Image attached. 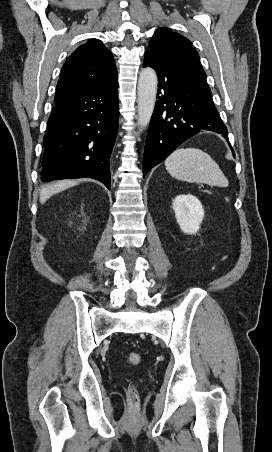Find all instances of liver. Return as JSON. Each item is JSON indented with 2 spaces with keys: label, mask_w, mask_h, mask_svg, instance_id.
<instances>
[{
  "label": "liver",
  "mask_w": 272,
  "mask_h": 452,
  "mask_svg": "<svg viewBox=\"0 0 272 452\" xmlns=\"http://www.w3.org/2000/svg\"><path fill=\"white\" fill-rule=\"evenodd\" d=\"M76 184H78V182L75 180H62V181H58L54 184H51L49 186H46L41 190L40 202L43 204L52 195L59 193V192L63 191L64 189L72 187Z\"/></svg>",
  "instance_id": "obj_1"
}]
</instances>
